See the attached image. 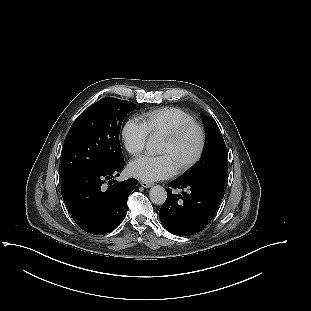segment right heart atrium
Returning a JSON list of instances; mask_svg holds the SVG:
<instances>
[{
  "mask_svg": "<svg viewBox=\"0 0 311 311\" xmlns=\"http://www.w3.org/2000/svg\"><path fill=\"white\" fill-rule=\"evenodd\" d=\"M125 148L132 156H138L144 150L148 133L143 125L135 118L126 121L122 129Z\"/></svg>",
  "mask_w": 311,
  "mask_h": 311,
  "instance_id": "d8ad5b80",
  "label": "right heart atrium"
}]
</instances>
